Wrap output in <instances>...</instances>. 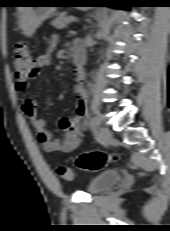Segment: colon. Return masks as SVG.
<instances>
[{
	"mask_svg": "<svg viewBox=\"0 0 170 231\" xmlns=\"http://www.w3.org/2000/svg\"><path fill=\"white\" fill-rule=\"evenodd\" d=\"M12 63L18 82H27L36 77L37 64L25 43L20 42L16 45L12 56ZM115 160H117V155L103 151H91L78 155L75 164L82 170L99 171L106 168ZM57 173L65 181H73L75 178L74 171L66 166H59Z\"/></svg>",
	"mask_w": 170,
	"mask_h": 231,
	"instance_id": "5ec220e1",
	"label": "colon"
}]
</instances>
